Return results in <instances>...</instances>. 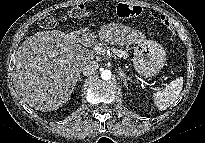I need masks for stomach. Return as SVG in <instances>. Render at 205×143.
<instances>
[{
    "label": "stomach",
    "mask_w": 205,
    "mask_h": 143,
    "mask_svg": "<svg viewBox=\"0 0 205 143\" xmlns=\"http://www.w3.org/2000/svg\"><path fill=\"white\" fill-rule=\"evenodd\" d=\"M165 61V50L157 42L145 40L134 47L133 67L139 75L145 78L159 74Z\"/></svg>",
    "instance_id": "1"
}]
</instances>
